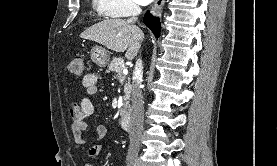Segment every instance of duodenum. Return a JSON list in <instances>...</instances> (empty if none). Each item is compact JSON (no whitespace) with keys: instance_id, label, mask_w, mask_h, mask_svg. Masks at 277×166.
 <instances>
[{"instance_id":"410a0bca","label":"duodenum","mask_w":277,"mask_h":166,"mask_svg":"<svg viewBox=\"0 0 277 166\" xmlns=\"http://www.w3.org/2000/svg\"><path fill=\"white\" fill-rule=\"evenodd\" d=\"M121 127L125 131H129L132 128V117L130 114H125L121 119Z\"/></svg>"}]
</instances>
